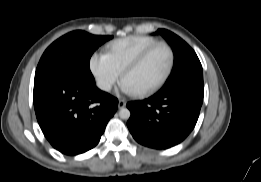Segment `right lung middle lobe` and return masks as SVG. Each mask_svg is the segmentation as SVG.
Listing matches in <instances>:
<instances>
[{
	"label": "right lung middle lobe",
	"mask_w": 261,
	"mask_h": 182,
	"mask_svg": "<svg viewBox=\"0 0 261 182\" xmlns=\"http://www.w3.org/2000/svg\"><path fill=\"white\" fill-rule=\"evenodd\" d=\"M113 36H95L84 31L70 32L53 42L43 53L35 73V80L45 75L66 71L82 84L95 85L89 68L93 52Z\"/></svg>",
	"instance_id": "right-lung-middle-lobe-1"
}]
</instances>
